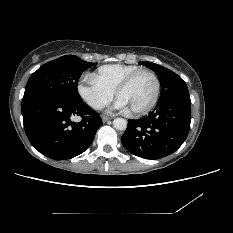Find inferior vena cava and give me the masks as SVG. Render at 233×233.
Here are the masks:
<instances>
[{
	"label": "inferior vena cava",
	"mask_w": 233,
	"mask_h": 233,
	"mask_svg": "<svg viewBox=\"0 0 233 233\" xmlns=\"http://www.w3.org/2000/svg\"><path fill=\"white\" fill-rule=\"evenodd\" d=\"M102 107H104L103 104H99V105L97 106V108H102Z\"/></svg>",
	"instance_id": "inferior-vena-cava-1"
}]
</instances>
